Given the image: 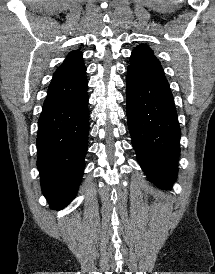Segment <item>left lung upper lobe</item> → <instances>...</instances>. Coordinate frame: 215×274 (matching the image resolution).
I'll return each mask as SVG.
<instances>
[{
  "instance_id": "obj_1",
  "label": "left lung upper lobe",
  "mask_w": 215,
  "mask_h": 274,
  "mask_svg": "<svg viewBox=\"0 0 215 274\" xmlns=\"http://www.w3.org/2000/svg\"><path fill=\"white\" fill-rule=\"evenodd\" d=\"M129 66L146 73L165 77L159 60L146 44H140L132 51Z\"/></svg>"
}]
</instances>
